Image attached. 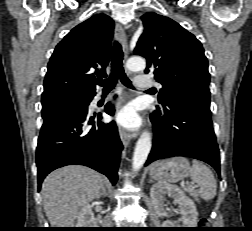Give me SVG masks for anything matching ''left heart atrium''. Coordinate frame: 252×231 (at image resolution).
Masks as SVG:
<instances>
[{"label": "left heart atrium", "instance_id": "39dd6f15", "mask_svg": "<svg viewBox=\"0 0 252 231\" xmlns=\"http://www.w3.org/2000/svg\"><path fill=\"white\" fill-rule=\"evenodd\" d=\"M116 120L121 126L129 129L137 128L141 123L139 115L131 106L121 109L116 116Z\"/></svg>", "mask_w": 252, "mask_h": 231}]
</instances>
